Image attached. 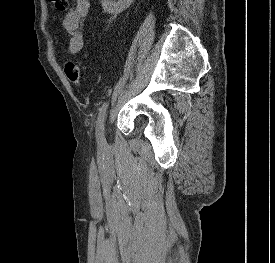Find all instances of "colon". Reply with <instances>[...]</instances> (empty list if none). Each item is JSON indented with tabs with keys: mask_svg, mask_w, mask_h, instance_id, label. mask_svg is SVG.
Masks as SVG:
<instances>
[{
	"mask_svg": "<svg viewBox=\"0 0 275 263\" xmlns=\"http://www.w3.org/2000/svg\"><path fill=\"white\" fill-rule=\"evenodd\" d=\"M54 7L59 12H64L68 8V0H51ZM64 73L67 79L76 86H81L84 82V77L81 73L78 64L72 60H69L64 65Z\"/></svg>",
	"mask_w": 275,
	"mask_h": 263,
	"instance_id": "obj_1",
	"label": "colon"
}]
</instances>
